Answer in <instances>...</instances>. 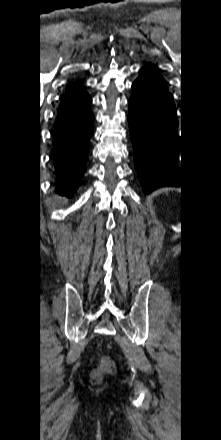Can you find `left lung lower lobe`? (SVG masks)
<instances>
[{
    "mask_svg": "<svg viewBox=\"0 0 221 440\" xmlns=\"http://www.w3.org/2000/svg\"><path fill=\"white\" fill-rule=\"evenodd\" d=\"M128 121L144 193L179 184L173 160L180 146L176 107L164 78L153 66L143 67L132 84Z\"/></svg>",
    "mask_w": 221,
    "mask_h": 440,
    "instance_id": "1",
    "label": "left lung lower lobe"
}]
</instances>
